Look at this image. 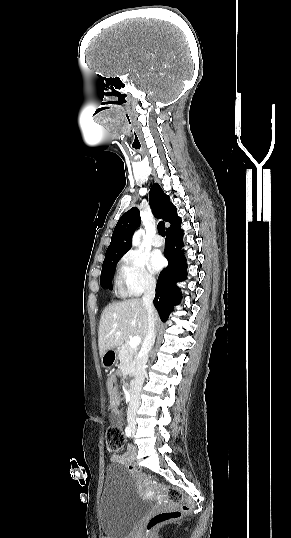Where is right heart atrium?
Returning a JSON list of instances; mask_svg holds the SVG:
<instances>
[{"label":"right heart atrium","instance_id":"1","mask_svg":"<svg viewBox=\"0 0 291 538\" xmlns=\"http://www.w3.org/2000/svg\"><path fill=\"white\" fill-rule=\"evenodd\" d=\"M127 292L138 296L155 287V278L147 268L146 258L137 251H129L123 255L119 264Z\"/></svg>","mask_w":291,"mask_h":538}]
</instances>
